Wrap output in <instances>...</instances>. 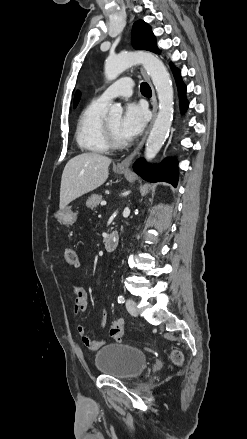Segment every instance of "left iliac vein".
<instances>
[{"instance_id": "left-iliac-vein-1", "label": "left iliac vein", "mask_w": 247, "mask_h": 439, "mask_svg": "<svg viewBox=\"0 0 247 439\" xmlns=\"http://www.w3.org/2000/svg\"><path fill=\"white\" fill-rule=\"evenodd\" d=\"M126 308H127V311L132 316H137L138 310H137L136 302L133 299H127L126 300Z\"/></svg>"}]
</instances>
